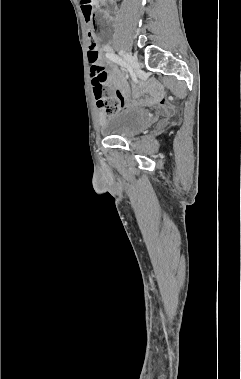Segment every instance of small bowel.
<instances>
[{
    "instance_id": "1",
    "label": "small bowel",
    "mask_w": 241,
    "mask_h": 379,
    "mask_svg": "<svg viewBox=\"0 0 241 379\" xmlns=\"http://www.w3.org/2000/svg\"><path fill=\"white\" fill-rule=\"evenodd\" d=\"M106 82L114 89L123 108L149 104L167 105L163 89L155 83H140L139 85L134 86L132 89L133 100L129 101L130 89L120 71L114 66H111L109 74L106 72L105 83ZM100 118L101 120H104L105 117L101 115Z\"/></svg>"
}]
</instances>
